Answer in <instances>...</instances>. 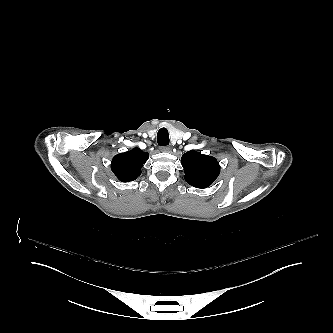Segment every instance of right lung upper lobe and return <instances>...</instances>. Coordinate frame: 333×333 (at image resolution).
<instances>
[{"instance_id":"cb5924a9","label":"right lung upper lobe","mask_w":333,"mask_h":333,"mask_svg":"<svg viewBox=\"0 0 333 333\" xmlns=\"http://www.w3.org/2000/svg\"><path fill=\"white\" fill-rule=\"evenodd\" d=\"M147 159L148 153L136 147L114 156L111 169L120 181H133L141 174V168Z\"/></svg>"}]
</instances>
